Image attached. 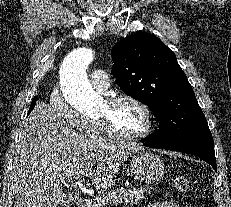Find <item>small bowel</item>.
I'll list each match as a JSON object with an SVG mask.
<instances>
[{"mask_svg": "<svg viewBox=\"0 0 231 207\" xmlns=\"http://www.w3.org/2000/svg\"><path fill=\"white\" fill-rule=\"evenodd\" d=\"M144 207H180V206L174 203L173 201H163V202H156Z\"/></svg>", "mask_w": 231, "mask_h": 207, "instance_id": "c3829d8e", "label": "small bowel"}]
</instances>
